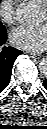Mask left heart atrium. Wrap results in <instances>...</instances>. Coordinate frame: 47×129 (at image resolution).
Here are the masks:
<instances>
[{
  "mask_svg": "<svg viewBox=\"0 0 47 129\" xmlns=\"http://www.w3.org/2000/svg\"><path fill=\"white\" fill-rule=\"evenodd\" d=\"M46 34L47 28L44 24H22L12 31L11 41L19 48L38 52L46 45Z\"/></svg>",
  "mask_w": 47,
  "mask_h": 129,
  "instance_id": "obj_1",
  "label": "left heart atrium"
}]
</instances>
